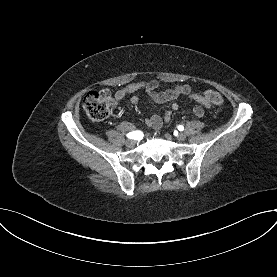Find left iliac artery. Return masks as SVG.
<instances>
[{"instance_id":"44dca946","label":"left iliac artery","mask_w":277,"mask_h":277,"mask_svg":"<svg viewBox=\"0 0 277 277\" xmlns=\"http://www.w3.org/2000/svg\"><path fill=\"white\" fill-rule=\"evenodd\" d=\"M178 130L179 131H183L184 130V127L182 125L178 126Z\"/></svg>"}]
</instances>
